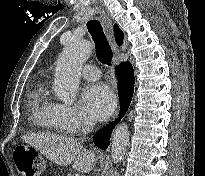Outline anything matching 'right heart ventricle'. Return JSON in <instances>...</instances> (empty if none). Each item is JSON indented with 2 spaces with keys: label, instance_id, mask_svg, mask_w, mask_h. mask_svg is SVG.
<instances>
[{
  "label": "right heart ventricle",
  "instance_id": "right-heart-ventricle-1",
  "mask_svg": "<svg viewBox=\"0 0 205 176\" xmlns=\"http://www.w3.org/2000/svg\"><path fill=\"white\" fill-rule=\"evenodd\" d=\"M57 105L48 94L45 85L38 82L30 95L32 121L53 133L62 132V124L57 115Z\"/></svg>",
  "mask_w": 205,
  "mask_h": 176
}]
</instances>
